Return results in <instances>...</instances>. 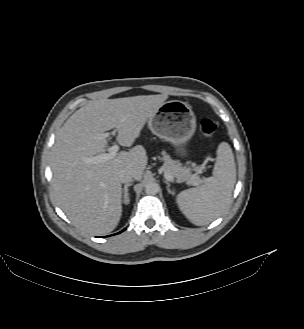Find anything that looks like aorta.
I'll return each mask as SVG.
<instances>
[{
    "label": "aorta",
    "mask_w": 304,
    "mask_h": 329,
    "mask_svg": "<svg viewBox=\"0 0 304 329\" xmlns=\"http://www.w3.org/2000/svg\"><path fill=\"white\" fill-rule=\"evenodd\" d=\"M158 191H159V185L155 182H150L145 186V192L148 195H155L158 193Z\"/></svg>",
    "instance_id": "obj_1"
}]
</instances>
